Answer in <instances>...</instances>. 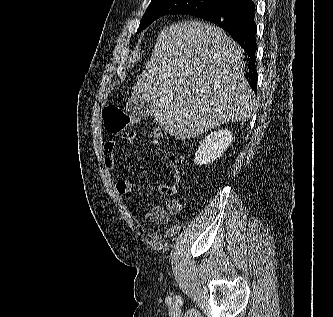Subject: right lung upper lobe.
<instances>
[{
	"instance_id": "right-lung-upper-lobe-1",
	"label": "right lung upper lobe",
	"mask_w": 333,
	"mask_h": 317,
	"mask_svg": "<svg viewBox=\"0 0 333 317\" xmlns=\"http://www.w3.org/2000/svg\"><path fill=\"white\" fill-rule=\"evenodd\" d=\"M229 3H233L235 1H238V0H227Z\"/></svg>"
}]
</instances>
